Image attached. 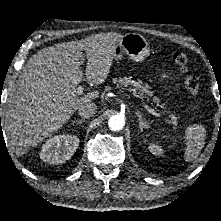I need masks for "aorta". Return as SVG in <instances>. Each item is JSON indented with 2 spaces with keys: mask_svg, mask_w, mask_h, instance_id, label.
<instances>
[{
  "mask_svg": "<svg viewBox=\"0 0 221 221\" xmlns=\"http://www.w3.org/2000/svg\"><path fill=\"white\" fill-rule=\"evenodd\" d=\"M109 128L113 131L121 130L125 125L124 116L121 114L113 115L108 121Z\"/></svg>",
  "mask_w": 221,
  "mask_h": 221,
  "instance_id": "762f6f07",
  "label": "aorta"
}]
</instances>
